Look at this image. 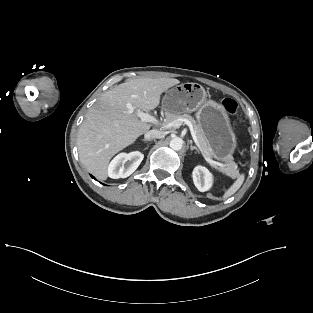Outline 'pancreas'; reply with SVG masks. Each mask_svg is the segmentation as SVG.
<instances>
[{
	"mask_svg": "<svg viewBox=\"0 0 313 313\" xmlns=\"http://www.w3.org/2000/svg\"><path fill=\"white\" fill-rule=\"evenodd\" d=\"M180 118L181 119H188L192 123L201 149L209 158H211L212 157V149L208 145L206 138L202 132L201 127L199 126L197 121L191 115L186 114V113L185 114H178V115H167L166 116V123L171 122L173 120L180 119ZM214 167L229 177L234 178L237 175V164L232 161V157L229 158V160L227 161L226 164H215Z\"/></svg>",
	"mask_w": 313,
	"mask_h": 313,
	"instance_id": "1",
	"label": "pancreas"
}]
</instances>
